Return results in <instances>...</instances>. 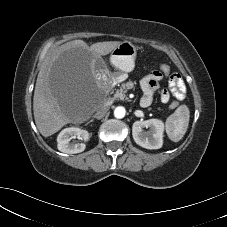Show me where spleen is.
I'll return each mask as SVG.
<instances>
[{"mask_svg": "<svg viewBox=\"0 0 227 227\" xmlns=\"http://www.w3.org/2000/svg\"><path fill=\"white\" fill-rule=\"evenodd\" d=\"M190 119V111L186 105L179 106L166 120V132L168 137L178 142L185 135Z\"/></svg>", "mask_w": 227, "mask_h": 227, "instance_id": "obj_1", "label": "spleen"}]
</instances>
